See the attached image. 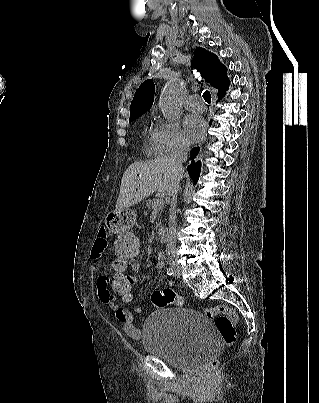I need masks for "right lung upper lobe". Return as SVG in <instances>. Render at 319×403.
Wrapping results in <instances>:
<instances>
[{"mask_svg":"<svg viewBox=\"0 0 319 403\" xmlns=\"http://www.w3.org/2000/svg\"><path fill=\"white\" fill-rule=\"evenodd\" d=\"M194 67L208 83L218 89V97L225 94L229 87L227 69L214 54L197 47L192 61V68ZM154 91L155 86L151 80H145L141 84L130 105V118L139 117L151 108Z\"/></svg>","mask_w":319,"mask_h":403,"instance_id":"obj_1","label":"right lung upper lobe"}]
</instances>
